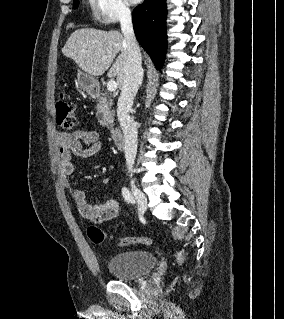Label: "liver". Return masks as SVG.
Masks as SVG:
<instances>
[{"label": "liver", "instance_id": "obj_1", "mask_svg": "<svg viewBox=\"0 0 284 319\" xmlns=\"http://www.w3.org/2000/svg\"><path fill=\"white\" fill-rule=\"evenodd\" d=\"M62 53L73 59L80 69L92 77L104 74L119 54L107 76H116L117 86L122 87L128 64V51L124 37L119 31L77 29L66 41Z\"/></svg>", "mask_w": 284, "mask_h": 319}]
</instances>
